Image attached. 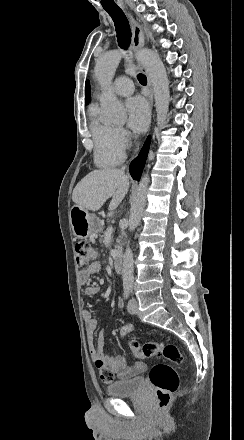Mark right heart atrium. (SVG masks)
Masks as SVG:
<instances>
[{
  "label": "right heart atrium",
  "mask_w": 244,
  "mask_h": 440,
  "mask_svg": "<svg viewBox=\"0 0 244 440\" xmlns=\"http://www.w3.org/2000/svg\"><path fill=\"white\" fill-rule=\"evenodd\" d=\"M129 132L119 126L112 128V136L106 142L109 150H121L127 146L129 141Z\"/></svg>",
  "instance_id": "obj_1"
}]
</instances>
